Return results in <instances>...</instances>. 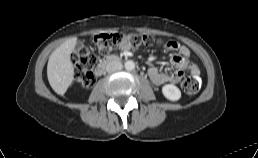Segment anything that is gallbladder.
<instances>
[{
	"label": "gallbladder",
	"instance_id": "obj_1",
	"mask_svg": "<svg viewBox=\"0 0 258 158\" xmlns=\"http://www.w3.org/2000/svg\"><path fill=\"white\" fill-rule=\"evenodd\" d=\"M83 47H84L83 42L78 41V42L76 43V50L79 51V50H81Z\"/></svg>",
	"mask_w": 258,
	"mask_h": 158
}]
</instances>
